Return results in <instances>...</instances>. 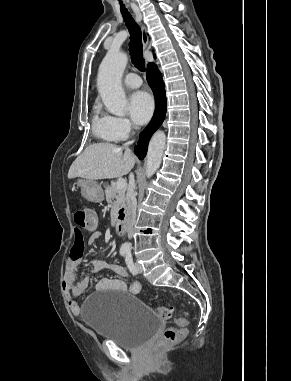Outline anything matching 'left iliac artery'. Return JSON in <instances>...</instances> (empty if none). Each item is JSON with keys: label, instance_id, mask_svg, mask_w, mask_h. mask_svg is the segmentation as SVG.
Instances as JSON below:
<instances>
[{"label": "left iliac artery", "instance_id": "left-iliac-artery-1", "mask_svg": "<svg viewBox=\"0 0 291 381\" xmlns=\"http://www.w3.org/2000/svg\"><path fill=\"white\" fill-rule=\"evenodd\" d=\"M125 262H126V264H127L128 269L130 270V272H131L133 275L137 274L135 265H134V263H133V258H132L131 252H127V254H126V256H125Z\"/></svg>", "mask_w": 291, "mask_h": 381}]
</instances>
